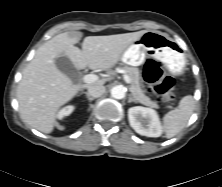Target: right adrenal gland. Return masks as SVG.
Masks as SVG:
<instances>
[{"label":"right adrenal gland","instance_id":"obj_1","mask_svg":"<svg viewBox=\"0 0 222 187\" xmlns=\"http://www.w3.org/2000/svg\"><path fill=\"white\" fill-rule=\"evenodd\" d=\"M84 94L86 95V97L88 98L89 101L94 100V98H92L87 92H84Z\"/></svg>","mask_w":222,"mask_h":187}]
</instances>
